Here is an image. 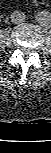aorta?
I'll return each mask as SVG.
<instances>
[{
    "mask_svg": "<svg viewBox=\"0 0 51 153\" xmlns=\"http://www.w3.org/2000/svg\"><path fill=\"white\" fill-rule=\"evenodd\" d=\"M36 22L44 28H51V14L49 12H41L36 16Z\"/></svg>",
    "mask_w": 51,
    "mask_h": 153,
    "instance_id": "aorta-1",
    "label": "aorta"
}]
</instances>
